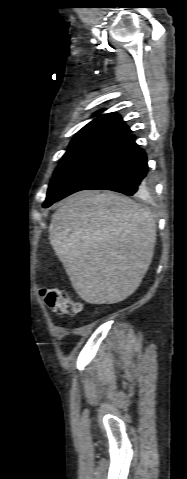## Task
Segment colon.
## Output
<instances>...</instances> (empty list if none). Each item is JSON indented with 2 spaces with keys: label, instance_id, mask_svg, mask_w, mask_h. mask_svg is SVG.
<instances>
[{
  "label": "colon",
  "instance_id": "obj_1",
  "mask_svg": "<svg viewBox=\"0 0 187 479\" xmlns=\"http://www.w3.org/2000/svg\"><path fill=\"white\" fill-rule=\"evenodd\" d=\"M40 296L45 304L58 314L75 316L81 312V304L73 300L64 290L54 287H42Z\"/></svg>",
  "mask_w": 187,
  "mask_h": 479
}]
</instances>
